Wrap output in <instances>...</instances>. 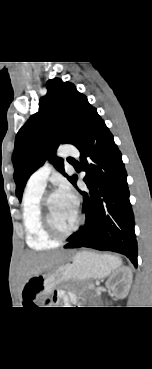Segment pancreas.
Listing matches in <instances>:
<instances>
[{
  "mask_svg": "<svg viewBox=\"0 0 152 369\" xmlns=\"http://www.w3.org/2000/svg\"><path fill=\"white\" fill-rule=\"evenodd\" d=\"M94 284L92 283V282H86V283H84L83 284V286H82V290L83 291H90V290H93V288H92V286H93Z\"/></svg>",
  "mask_w": 152,
  "mask_h": 369,
  "instance_id": "pancreas-1",
  "label": "pancreas"
}]
</instances>
